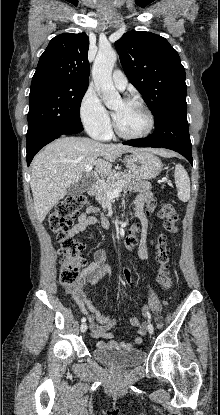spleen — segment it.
I'll use <instances>...</instances> for the list:
<instances>
[{"label": "spleen", "mask_w": 220, "mask_h": 415, "mask_svg": "<svg viewBox=\"0 0 220 415\" xmlns=\"http://www.w3.org/2000/svg\"><path fill=\"white\" fill-rule=\"evenodd\" d=\"M174 177L178 189V198L183 202H187L190 198V179L181 164L176 165Z\"/></svg>", "instance_id": "spleen-1"}]
</instances>
